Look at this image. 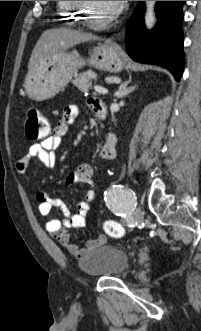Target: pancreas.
Wrapping results in <instances>:
<instances>
[{
	"label": "pancreas",
	"instance_id": "pancreas-1",
	"mask_svg": "<svg viewBox=\"0 0 201 331\" xmlns=\"http://www.w3.org/2000/svg\"><path fill=\"white\" fill-rule=\"evenodd\" d=\"M95 77L96 75L92 71L83 72L82 74L75 76L72 83L82 92H86L91 88L92 79Z\"/></svg>",
	"mask_w": 201,
	"mask_h": 331
}]
</instances>
